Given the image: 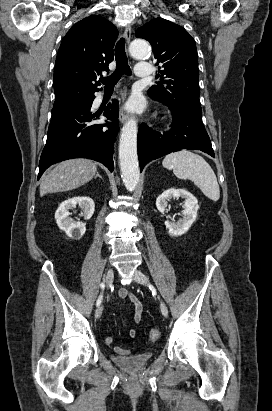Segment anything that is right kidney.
I'll return each instance as SVG.
<instances>
[{
    "mask_svg": "<svg viewBox=\"0 0 272 411\" xmlns=\"http://www.w3.org/2000/svg\"><path fill=\"white\" fill-rule=\"evenodd\" d=\"M78 205L85 220L90 219L95 210L94 201L90 197H73L60 204L55 212V219L58 227L72 239L79 240L86 232L85 223L74 221L69 217V210Z\"/></svg>",
    "mask_w": 272,
    "mask_h": 411,
    "instance_id": "obj_1",
    "label": "right kidney"
}]
</instances>
